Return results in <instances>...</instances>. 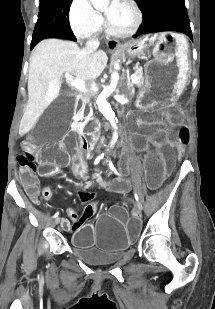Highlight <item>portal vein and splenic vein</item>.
Returning <instances> with one entry per match:
<instances>
[{
    "instance_id": "obj_1",
    "label": "portal vein and splenic vein",
    "mask_w": 215,
    "mask_h": 309,
    "mask_svg": "<svg viewBox=\"0 0 215 309\" xmlns=\"http://www.w3.org/2000/svg\"><path fill=\"white\" fill-rule=\"evenodd\" d=\"M68 72H66V76H67ZM70 78H68V80H70L72 86H75V88H79V90H82V92H87V88H85L82 80H79V78H73V76H71V74H69ZM131 78V82H137L138 80V76H136V74H131L130 76Z\"/></svg>"
}]
</instances>
